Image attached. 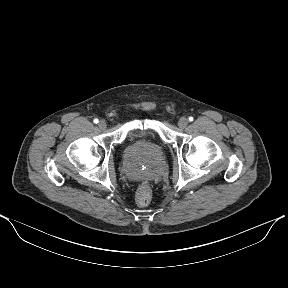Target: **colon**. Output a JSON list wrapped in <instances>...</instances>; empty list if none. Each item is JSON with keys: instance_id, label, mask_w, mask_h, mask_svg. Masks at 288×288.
<instances>
[{"instance_id": "obj_1", "label": "colon", "mask_w": 288, "mask_h": 288, "mask_svg": "<svg viewBox=\"0 0 288 288\" xmlns=\"http://www.w3.org/2000/svg\"><path fill=\"white\" fill-rule=\"evenodd\" d=\"M152 198V192L147 184H142L135 195L136 203L140 206H146L150 203Z\"/></svg>"}]
</instances>
